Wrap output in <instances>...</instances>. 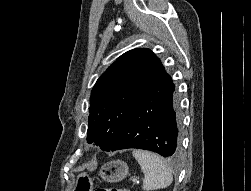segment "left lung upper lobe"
<instances>
[{"instance_id":"left-lung-upper-lobe-1","label":"left lung upper lobe","mask_w":251,"mask_h":191,"mask_svg":"<svg viewBox=\"0 0 251 191\" xmlns=\"http://www.w3.org/2000/svg\"><path fill=\"white\" fill-rule=\"evenodd\" d=\"M164 71L149 49L137 48L121 55L91 92L88 142L109 151L138 102Z\"/></svg>"}]
</instances>
